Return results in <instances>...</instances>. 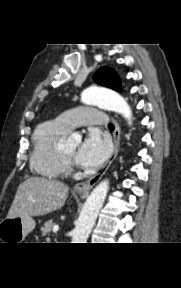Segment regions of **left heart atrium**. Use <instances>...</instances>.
Here are the masks:
<instances>
[{
  "mask_svg": "<svg viewBox=\"0 0 181 288\" xmlns=\"http://www.w3.org/2000/svg\"><path fill=\"white\" fill-rule=\"evenodd\" d=\"M110 153V143L98 131H90L75 154L80 166L92 169L100 166Z\"/></svg>",
  "mask_w": 181,
  "mask_h": 288,
  "instance_id": "1",
  "label": "left heart atrium"
}]
</instances>
